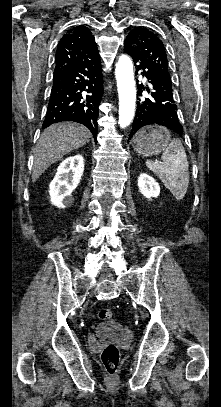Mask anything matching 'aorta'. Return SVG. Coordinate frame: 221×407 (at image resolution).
<instances>
[{
    "label": "aorta",
    "mask_w": 221,
    "mask_h": 407,
    "mask_svg": "<svg viewBox=\"0 0 221 407\" xmlns=\"http://www.w3.org/2000/svg\"><path fill=\"white\" fill-rule=\"evenodd\" d=\"M115 75L119 94V125L125 128L134 118L136 103V88L133 64L129 56H120L116 63Z\"/></svg>",
    "instance_id": "762f6f07"
}]
</instances>
